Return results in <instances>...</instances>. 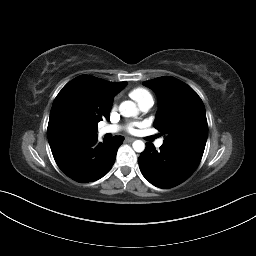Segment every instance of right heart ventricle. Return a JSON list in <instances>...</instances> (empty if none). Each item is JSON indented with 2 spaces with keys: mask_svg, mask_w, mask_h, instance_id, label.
<instances>
[{
  "mask_svg": "<svg viewBox=\"0 0 256 256\" xmlns=\"http://www.w3.org/2000/svg\"><path fill=\"white\" fill-rule=\"evenodd\" d=\"M129 96L138 104H144L147 102H154L152 93L143 87H137L129 92Z\"/></svg>",
  "mask_w": 256,
  "mask_h": 256,
  "instance_id": "e07e8e85",
  "label": "right heart ventricle"
}]
</instances>
